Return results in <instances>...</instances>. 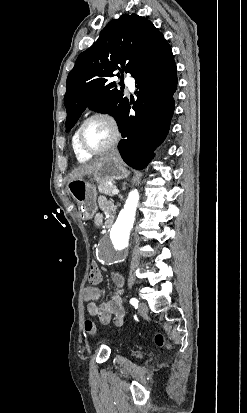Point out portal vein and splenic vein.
<instances>
[{"label": "portal vein and splenic vein", "instance_id": "portal-vein-and-splenic-vein-1", "mask_svg": "<svg viewBox=\"0 0 247 413\" xmlns=\"http://www.w3.org/2000/svg\"><path fill=\"white\" fill-rule=\"evenodd\" d=\"M118 192H119V188H113L112 194H118Z\"/></svg>", "mask_w": 247, "mask_h": 413}]
</instances>
